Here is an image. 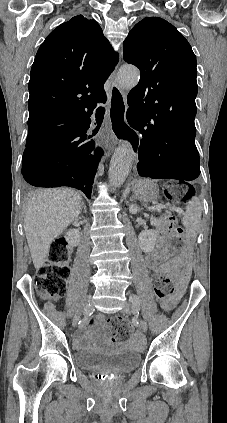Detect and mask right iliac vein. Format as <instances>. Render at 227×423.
Segmentation results:
<instances>
[{
  "label": "right iliac vein",
  "instance_id": "obj_1",
  "mask_svg": "<svg viewBox=\"0 0 227 423\" xmlns=\"http://www.w3.org/2000/svg\"><path fill=\"white\" fill-rule=\"evenodd\" d=\"M91 303V297H86L80 307V310L75 314L73 324L76 325L78 321L80 320L81 313L83 310H85Z\"/></svg>",
  "mask_w": 227,
  "mask_h": 423
}]
</instances>
